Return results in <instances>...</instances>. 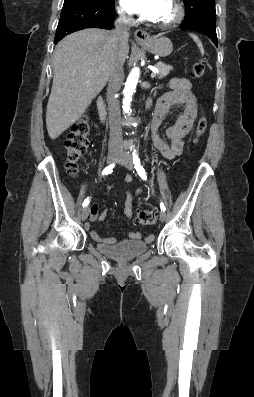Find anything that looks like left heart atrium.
<instances>
[{"label":"left heart atrium","instance_id":"1","mask_svg":"<svg viewBox=\"0 0 254 397\" xmlns=\"http://www.w3.org/2000/svg\"><path fill=\"white\" fill-rule=\"evenodd\" d=\"M169 0H122L124 7L130 13L155 20L164 10Z\"/></svg>","mask_w":254,"mask_h":397}]
</instances>
